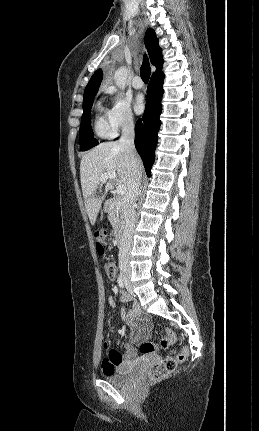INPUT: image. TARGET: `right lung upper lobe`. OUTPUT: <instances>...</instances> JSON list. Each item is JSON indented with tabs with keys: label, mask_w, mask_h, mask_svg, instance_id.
Wrapping results in <instances>:
<instances>
[{
	"label": "right lung upper lobe",
	"mask_w": 259,
	"mask_h": 431,
	"mask_svg": "<svg viewBox=\"0 0 259 431\" xmlns=\"http://www.w3.org/2000/svg\"><path fill=\"white\" fill-rule=\"evenodd\" d=\"M145 45L147 47L151 63L156 67V72L161 71L163 65L162 50L159 47L157 36L153 29L149 28L145 34ZM103 78L101 69H98L88 82L84 94L97 92Z\"/></svg>",
	"instance_id": "obj_1"
}]
</instances>
